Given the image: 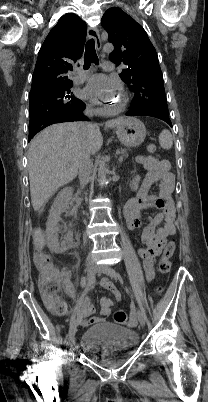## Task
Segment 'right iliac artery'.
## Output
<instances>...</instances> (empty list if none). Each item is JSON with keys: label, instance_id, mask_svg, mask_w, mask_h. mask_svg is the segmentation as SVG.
I'll return each instance as SVG.
<instances>
[{"label": "right iliac artery", "instance_id": "82829eb1", "mask_svg": "<svg viewBox=\"0 0 208 402\" xmlns=\"http://www.w3.org/2000/svg\"><path fill=\"white\" fill-rule=\"evenodd\" d=\"M94 283H95V277L93 278V280H92L91 282H88V283H87V285H86V287H85V289H84L83 295H85L86 293H88V291L93 287ZM79 307H80V303L78 302L77 305L75 306L74 313L72 314V316H71V318H70V322H69V325H70V326H71V325L74 323V321H75L76 312H77V310L79 309Z\"/></svg>", "mask_w": 208, "mask_h": 402}]
</instances>
